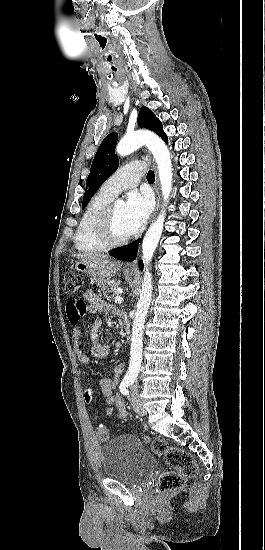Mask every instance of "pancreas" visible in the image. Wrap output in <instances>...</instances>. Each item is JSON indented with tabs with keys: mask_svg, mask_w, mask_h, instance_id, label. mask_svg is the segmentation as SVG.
Instances as JSON below:
<instances>
[{
	"mask_svg": "<svg viewBox=\"0 0 265 550\" xmlns=\"http://www.w3.org/2000/svg\"><path fill=\"white\" fill-rule=\"evenodd\" d=\"M122 285L121 281L120 280H111V281H108L106 283V285L103 286L102 288V291H103V295L106 299L108 300H112L114 299L118 293H117V289Z\"/></svg>",
	"mask_w": 265,
	"mask_h": 550,
	"instance_id": "obj_1",
	"label": "pancreas"
}]
</instances>
